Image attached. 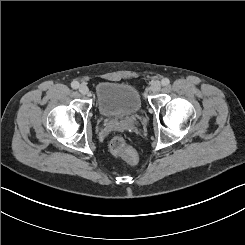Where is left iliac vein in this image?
<instances>
[{
	"label": "left iliac vein",
	"instance_id": "4c4485c4",
	"mask_svg": "<svg viewBox=\"0 0 245 245\" xmlns=\"http://www.w3.org/2000/svg\"><path fill=\"white\" fill-rule=\"evenodd\" d=\"M160 89H161V83L159 81H154L152 86H151L152 92L158 93Z\"/></svg>",
	"mask_w": 245,
	"mask_h": 245
}]
</instances>
